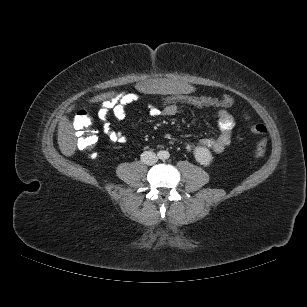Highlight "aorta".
I'll return each mask as SVG.
<instances>
[{"mask_svg": "<svg viewBox=\"0 0 307 307\" xmlns=\"http://www.w3.org/2000/svg\"><path fill=\"white\" fill-rule=\"evenodd\" d=\"M169 157V153L167 151H160L159 158L160 159H167Z\"/></svg>", "mask_w": 307, "mask_h": 307, "instance_id": "obj_1", "label": "aorta"}]
</instances>
